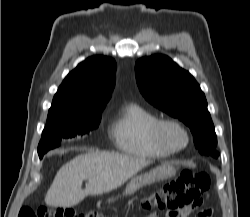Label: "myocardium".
I'll return each mask as SVG.
<instances>
[{
  "instance_id": "obj_1",
  "label": "myocardium",
  "mask_w": 250,
  "mask_h": 217,
  "mask_svg": "<svg viewBox=\"0 0 250 217\" xmlns=\"http://www.w3.org/2000/svg\"><path fill=\"white\" fill-rule=\"evenodd\" d=\"M170 130H175L179 132L183 136V143H172L168 138V133ZM152 132L155 141L171 153L180 152L184 150L190 142L189 132L187 131L186 127L181 122L175 119H158L153 126Z\"/></svg>"
}]
</instances>
